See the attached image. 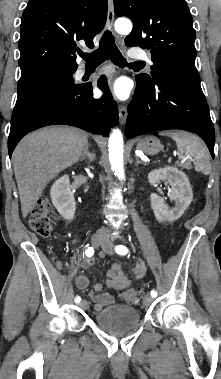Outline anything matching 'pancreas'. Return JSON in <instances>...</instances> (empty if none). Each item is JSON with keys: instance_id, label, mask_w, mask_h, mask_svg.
I'll list each match as a JSON object with an SVG mask.
<instances>
[{"instance_id": "pancreas-1", "label": "pancreas", "mask_w": 221, "mask_h": 379, "mask_svg": "<svg viewBox=\"0 0 221 379\" xmlns=\"http://www.w3.org/2000/svg\"><path fill=\"white\" fill-rule=\"evenodd\" d=\"M179 166H180L181 168H185V169H190V168H191V164H189V163L180 164Z\"/></svg>"}]
</instances>
